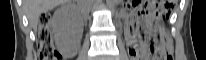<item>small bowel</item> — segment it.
Here are the masks:
<instances>
[{"instance_id":"obj_1","label":"small bowel","mask_w":206,"mask_h":60,"mask_svg":"<svg viewBox=\"0 0 206 60\" xmlns=\"http://www.w3.org/2000/svg\"><path fill=\"white\" fill-rule=\"evenodd\" d=\"M149 17V16H148ZM141 52V48L136 43L135 39L131 38L129 40V53L132 59H138Z\"/></svg>"}]
</instances>
